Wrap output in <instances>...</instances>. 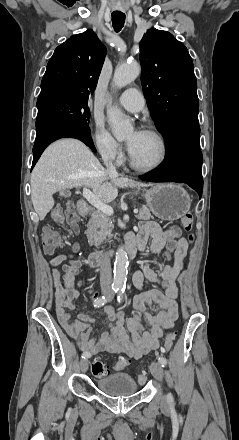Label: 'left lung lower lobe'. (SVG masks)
I'll use <instances>...</instances> for the list:
<instances>
[{
  "instance_id": "1",
  "label": "left lung lower lobe",
  "mask_w": 239,
  "mask_h": 440,
  "mask_svg": "<svg viewBox=\"0 0 239 440\" xmlns=\"http://www.w3.org/2000/svg\"><path fill=\"white\" fill-rule=\"evenodd\" d=\"M199 123L180 125L166 136V156L161 167L151 174L140 176L150 182L187 183L202 196V153L199 144Z\"/></svg>"
}]
</instances>
